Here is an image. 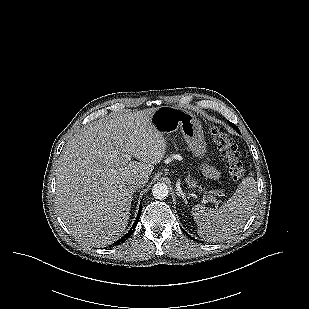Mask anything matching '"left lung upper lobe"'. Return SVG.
I'll return each mask as SVG.
<instances>
[{"mask_svg": "<svg viewBox=\"0 0 309 309\" xmlns=\"http://www.w3.org/2000/svg\"><path fill=\"white\" fill-rule=\"evenodd\" d=\"M229 125H230L231 127H233L236 131L239 132V129H238V127H237L235 124L229 122Z\"/></svg>", "mask_w": 309, "mask_h": 309, "instance_id": "5c2ea615", "label": "left lung upper lobe"}]
</instances>
